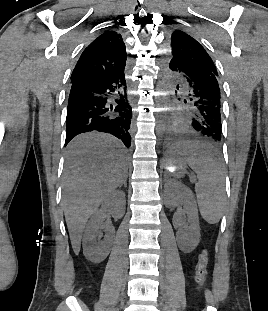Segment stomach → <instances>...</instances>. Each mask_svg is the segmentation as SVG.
<instances>
[{"label": "stomach", "instance_id": "0dacf381", "mask_svg": "<svg viewBox=\"0 0 268 311\" xmlns=\"http://www.w3.org/2000/svg\"><path fill=\"white\" fill-rule=\"evenodd\" d=\"M189 147L181 146L179 148H174L171 151L170 158L167 160V167H172L174 169L171 174L177 178L184 176L185 169L187 166V158H190L188 154Z\"/></svg>", "mask_w": 268, "mask_h": 311}]
</instances>
